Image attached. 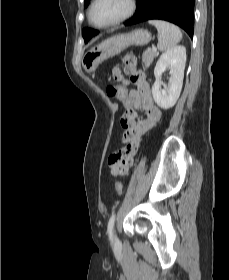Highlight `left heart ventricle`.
Masks as SVG:
<instances>
[{"instance_id":"left-heart-ventricle-1","label":"left heart ventricle","mask_w":229,"mask_h":280,"mask_svg":"<svg viewBox=\"0 0 229 280\" xmlns=\"http://www.w3.org/2000/svg\"><path fill=\"white\" fill-rule=\"evenodd\" d=\"M127 0H100L93 9L92 21L95 24L107 23L127 10Z\"/></svg>"}]
</instances>
